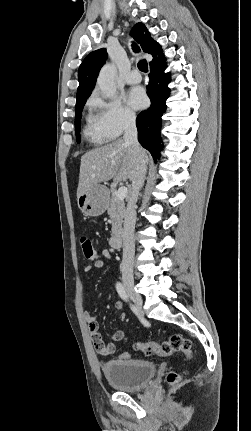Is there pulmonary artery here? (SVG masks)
I'll return each instance as SVG.
<instances>
[{"mask_svg":"<svg viewBox=\"0 0 251 431\" xmlns=\"http://www.w3.org/2000/svg\"><path fill=\"white\" fill-rule=\"evenodd\" d=\"M127 84H137L141 81V75L137 70L128 72L124 78Z\"/></svg>","mask_w":251,"mask_h":431,"instance_id":"pulmonary-artery-1","label":"pulmonary artery"}]
</instances>
